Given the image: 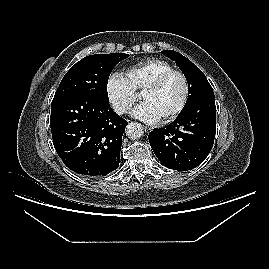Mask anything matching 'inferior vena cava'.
<instances>
[{"mask_svg":"<svg viewBox=\"0 0 269 269\" xmlns=\"http://www.w3.org/2000/svg\"><path fill=\"white\" fill-rule=\"evenodd\" d=\"M113 109L117 114H123L127 111L128 106L122 103H116L113 105Z\"/></svg>","mask_w":269,"mask_h":269,"instance_id":"602c4592","label":"inferior vena cava"}]
</instances>
